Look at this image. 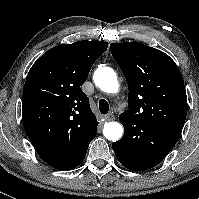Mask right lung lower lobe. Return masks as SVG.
Here are the masks:
<instances>
[{"label":"right lung lower lobe","mask_w":199,"mask_h":199,"mask_svg":"<svg viewBox=\"0 0 199 199\" xmlns=\"http://www.w3.org/2000/svg\"><path fill=\"white\" fill-rule=\"evenodd\" d=\"M89 143L82 149L80 154H78L77 157L73 161L69 162L68 164L56 163L54 159H48V160H46V162L50 166H52V167H54L56 169H59V170H70V169H73V168L77 167L78 165H80V163L84 160L86 152H87V148L89 146Z\"/></svg>","instance_id":"right-lung-lower-lobe-1"}]
</instances>
